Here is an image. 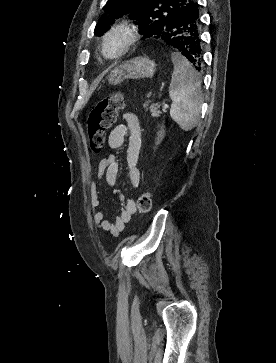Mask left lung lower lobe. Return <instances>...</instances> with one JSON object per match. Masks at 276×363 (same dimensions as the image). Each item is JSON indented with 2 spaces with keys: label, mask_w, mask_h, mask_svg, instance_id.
Returning <instances> with one entry per match:
<instances>
[{
  "label": "left lung lower lobe",
  "mask_w": 276,
  "mask_h": 363,
  "mask_svg": "<svg viewBox=\"0 0 276 363\" xmlns=\"http://www.w3.org/2000/svg\"><path fill=\"white\" fill-rule=\"evenodd\" d=\"M169 28L171 30L159 35L158 38L171 47L176 48L177 51L191 62V66L195 71H200L203 65V58L198 3L193 1L183 7Z\"/></svg>",
  "instance_id": "1"
}]
</instances>
